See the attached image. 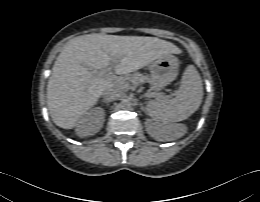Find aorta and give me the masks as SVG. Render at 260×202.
<instances>
[{
  "mask_svg": "<svg viewBox=\"0 0 260 202\" xmlns=\"http://www.w3.org/2000/svg\"><path fill=\"white\" fill-rule=\"evenodd\" d=\"M122 106L125 109H130L133 106V102L130 98H126L122 101Z\"/></svg>",
  "mask_w": 260,
  "mask_h": 202,
  "instance_id": "aorta-1",
  "label": "aorta"
}]
</instances>
